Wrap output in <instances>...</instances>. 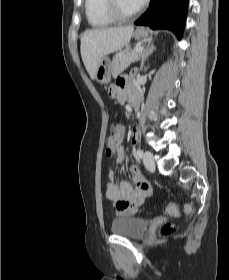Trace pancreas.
Here are the masks:
<instances>
[{
    "mask_svg": "<svg viewBox=\"0 0 229 280\" xmlns=\"http://www.w3.org/2000/svg\"><path fill=\"white\" fill-rule=\"evenodd\" d=\"M136 48V47H135ZM134 48V49H135ZM133 50L126 49L117 53L111 64V72L113 76L118 75L122 71H124L129 65L135 61L140 59L142 53H135Z\"/></svg>",
    "mask_w": 229,
    "mask_h": 280,
    "instance_id": "cf45deb5",
    "label": "pancreas"
}]
</instances>
